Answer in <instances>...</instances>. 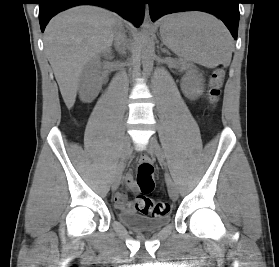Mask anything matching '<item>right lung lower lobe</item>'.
<instances>
[{"label":"right lung lower lobe","instance_id":"right-lung-lower-lobe-1","mask_svg":"<svg viewBox=\"0 0 279 267\" xmlns=\"http://www.w3.org/2000/svg\"><path fill=\"white\" fill-rule=\"evenodd\" d=\"M93 4L117 12L139 27L143 21L145 0H39V22L43 32L49 20L69 7Z\"/></svg>","mask_w":279,"mask_h":267}]
</instances>
